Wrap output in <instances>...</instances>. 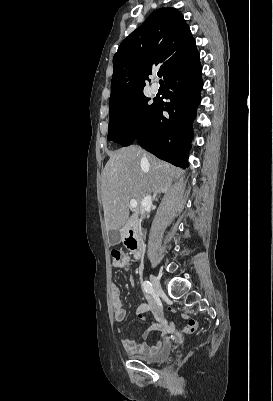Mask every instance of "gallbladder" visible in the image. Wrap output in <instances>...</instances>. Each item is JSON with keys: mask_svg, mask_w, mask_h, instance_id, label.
I'll use <instances>...</instances> for the list:
<instances>
[{"mask_svg": "<svg viewBox=\"0 0 273 401\" xmlns=\"http://www.w3.org/2000/svg\"><path fill=\"white\" fill-rule=\"evenodd\" d=\"M107 233H108V239L110 243H114V245H117V243H120L121 241V235H120V230L118 227H108L107 228Z\"/></svg>", "mask_w": 273, "mask_h": 401, "instance_id": "1", "label": "gallbladder"}]
</instances>
